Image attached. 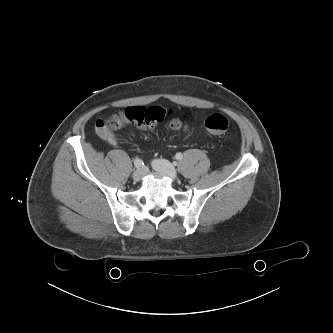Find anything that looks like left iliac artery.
Returning <instances> with one entry per match:
<instances>
[{
    "label": "left iliac artery",
    "mask_w": 333,
    "mask_h": 333,
    "mask_svg": "<svg viewBox=\"0 0 333 333\" xmlns=\"http://www.w3.org/2000/svg\"><path fill=\"white\" fill-rule=\"evenodd\" d=\"M175 158L178 160V161H180V160H182V158H183V155H182V153H177L176 155H175Z\"/></svg>",
    "instance_id": "left-iliac-artery-1"
}]
</instances>
